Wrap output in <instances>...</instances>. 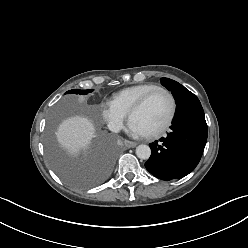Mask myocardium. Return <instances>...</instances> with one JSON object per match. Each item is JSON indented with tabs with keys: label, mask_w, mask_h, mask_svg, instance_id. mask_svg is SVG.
Listing matches in <instances>:
<instances>
[{
	"label": "myocardium",
	"mask_w": 248,
	"mask_h": 248,
	"mask_svg": "<svg viewBox=\"0 0 248 248\" xmlns=\"http://www.w3.org/2000/svg\"><path fill=\"white\" fill-rule=\"evenodd\" d=\"M158 92H162L164 93L170 101V113L169 116L167 118V120L164 122V124L157 129L156 131L149 133V134H145L144 136L149 138V139H155L158 138L160 136H162L172 125L174 118L176 116V111H177V103L175 100L174 95L171 93V91H169L168 89L164 88V87H156L150 91H148L147 93H145L129 110L128 112V118L129 121L131 122L132 116L138 111L140 110L147 102L148 100L155 95Z\"/></svg>",
	"instance_id": "myocardium-1"
}]
</instances>
